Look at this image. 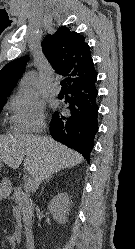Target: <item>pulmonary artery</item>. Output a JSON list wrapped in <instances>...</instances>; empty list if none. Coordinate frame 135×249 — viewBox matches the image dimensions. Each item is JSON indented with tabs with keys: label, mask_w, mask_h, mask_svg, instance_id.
Segmentation results:
<instances>
[{
	"label": "pulmonary artery",
	"mask_w": 135,
	"mask_h": 249,
	"mask_svg": "<svg viewBox=\"0 0 135 249\" xmlns=\"http://www.w3.org/2000/svg\"><path fill=\"white\" fill-rule=\"evenodd\" d=\"M49 92L51 95H58L60 92V87L57 83H54L50 88Z\"/></svg>",
	"instance_id": "1"
}]
</instances>
